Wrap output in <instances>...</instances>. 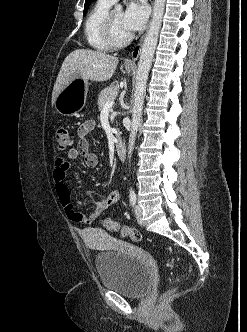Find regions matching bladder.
<instances>
[{"instance_id":"bladder-1","label":"bladder","mask_w":247,"mask_h":332,"mask_svg":"<svg viewBox=\"0 0 247 332\" xmlns=\"http://www.w3.org/2000/svg\"><path fill=\"white\" fill-rule=\"evenodd\" d=\"M85 242L90 245L88 236ZM101 284L129 298H141L150 290L154 278L153 257L144 250L124 244L100 252L95 258Z\"/></svg>"}]
</instances>
